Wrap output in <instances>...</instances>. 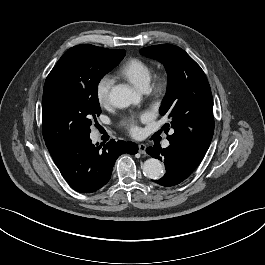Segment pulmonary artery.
Returning <instances> with one entry per match:
<instances>
[{"instance_id":"pulmonary-artery-1","label":"pulmonary artery","mask_w":265,"mask_h":265,"mask_svg":"<svg viewBox=\"0 0 265 265\" xmlns=\"http://www.w3.org/2000/svg\"><path fill=\"white\" fill-rule=\"evenodd\" d=\"M163 146L164 147H168L169 146V142L168 141H164Z\"/></svg>"}]
</instances>
